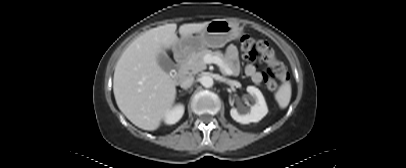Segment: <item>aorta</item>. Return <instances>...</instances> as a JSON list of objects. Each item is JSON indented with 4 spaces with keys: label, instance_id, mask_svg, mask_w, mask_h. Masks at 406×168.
Listing matches in <instances>:
<instances>
[{
    "label": "aorta",
    "instance_id": "762f6f07",
    "mask_svg": "<svg viewBox=\"0 0 406 168\" xmlns=\"http://www.w3.org/2000/svg\"><path fill=\"white\" fill-rule=\"evenodd\" d=\"M200 82L206 88H210L213 86V79L210 76H202L200 78Z\"/></svg>",
    "mask_w": 406,
    "mask_h": 168
}]
</instances>
